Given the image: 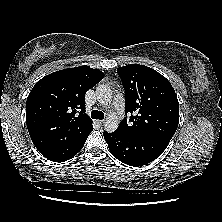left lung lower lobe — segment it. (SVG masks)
<instances>
[{
    "label": "left lung lower lobe",
    "mask_w": 222,
    "mask_h": 222,
    "mask_svg": "<svg viewBox=\"0 0 222 222\" xmlns=\"http://www.w3.org/2000/svg\"><path fill=\"white\" fill-rule=\"evenodd\" d=\"M115 158L130 166H143L158 158L170 139L152 136H132L119 131L103 133Z\"/></svg>",
    "instance_id": "0a47b994"
}]
</instances>
